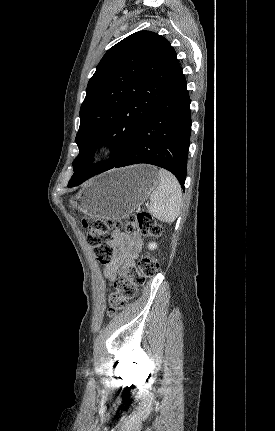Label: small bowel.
<instances>
[{"instance_id":"obj_1","label":"small bowel","mask_w":275,"mask_h":431,"mask_svg":"<svg viewBox=\"0 0 275 431\" xmlns=\"http://www.w3.org/2000/svg\"><path fill=\"white\" fill-rule=\"evenodd\" d=\"M111 245L114 249L112 261L104 268V277L113 283L118 276H123L134 266L142 240L137 232L126 233L120 230L114 231Z\"/></svg>"}]
</instances>
